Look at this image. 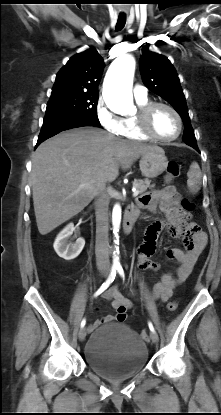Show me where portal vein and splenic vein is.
<instances>
[{
  "label": "portal vein and splenic vein",
  "mask_w": 221,
  "mask_h": 415,
  "mask_svg": "<svg viewBox=\"0 0 221 415\" xmlns=\"http://www.w3.org/2000/svg\"><path fill=\"white\" fill-rule=\"evenodd\" d=\"M85 185H81V187H84ZM133 197L138 196L139 192L136 189H133Z\"/></svg>",
  "instance_id": "1"
}]
</instances>
